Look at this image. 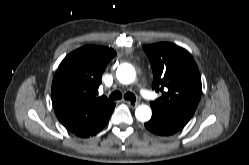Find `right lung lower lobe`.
Here are the masks:
<instances>
[{
	"label": "right lung lower lobe",
	"instance_id": "right-lung-lower-lobe-1",
	"mask_svg": "<svg viewBox=\"0 0 249 165\" xmlns=\"http://www.w3.org/2000/svg\"><path fill=\"white\" fill-rule=\"evenodd\" d=\"M114 107L103 118H101L99 121H97L96 123H94L93 125H91L89 127H86L84 129H81V130H78V131L74 132V134H76L79 137H83V138L90 137V136H93V135L97 134L99 131L102 130V128L109 121V118L111 116V113H112Z\"/></svg>",
	"mask_w": 249,
	"mask_h": 165
}]
</instances>
